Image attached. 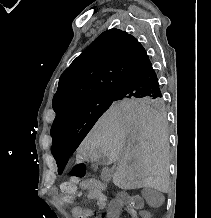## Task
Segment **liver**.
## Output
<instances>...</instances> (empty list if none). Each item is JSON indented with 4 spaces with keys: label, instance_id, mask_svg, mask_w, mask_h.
<instances>
[{
    "label": "liver",
    "instance_id": "1",
    "mask_svg": "<svg viewBox=\"0 0 211 218\" xmlns=\"http://www.w3.org/2000/svg\"><path fill=\"white\" fill-rule=\"evenodd\" d=\"M164 120L156 110L112 104L83 140L77 154L83 158L106 156L118 162L113 184L121 190H168V138Z\"/></svg>",
    "mask_w": 211,
    "mask_h": 218
}]
</instances>
